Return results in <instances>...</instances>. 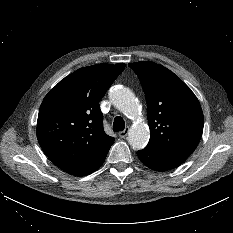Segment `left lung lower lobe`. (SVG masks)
<instances>
[{
	"label": "left lung lower lobe",
	"instance_id": "obj_1",
	"mask_svg": "<svg viewBox=\"0 0 233 233\" xmlns=\"http://www.w3.org/2000/svg\"><path fill=\"white\" fill-rule=\"evenodd\" d=\"M142 163L155 171H166L182 164L188 156L177 153L161 152L145 147L137 151Z\"/></svg>",
	"mask_w": 233,
	"mask_h": 233
}]
</instances>
